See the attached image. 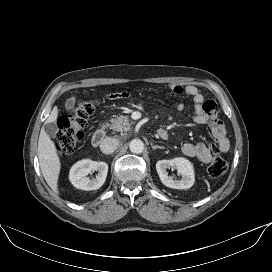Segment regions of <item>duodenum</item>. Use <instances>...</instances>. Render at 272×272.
Returning <instances> with one entry per match:
<instances>
[{
  "label": "duodenum",
  "mask_w": 272,
  "mask_h": 272,
  "mask_svg": "<svg viewBox=\"0 0 272 272\" xmlns=\"http://www.w3.org/2000/svg\"><path fill=\"white\" fill-rule=\"evenodd\" d=\"M158 136L161 138V139H166L167 138V134L164 132V131H161L159 130L157 132ZM106 137V131L105 129L101 128V129H98L94 134H93V137H92V144L94 146H99L103 140L105 139Z\"/></svg>",
  "instance_id": "1"
}]
</instances>
